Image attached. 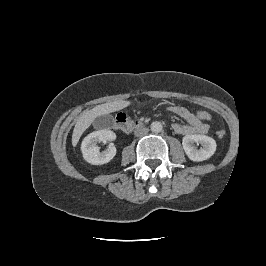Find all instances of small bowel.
Masks as SVG:
<instances>
[{
  "label": "small bowel",
  "instance_id": "small-bowel-1",
  "mask_svg": "<svg viewBox=\"0 0 266 266\" xmlns=\"http://www.w3.org/2000/svg\"><path fill=\"white\" fill-rule=\"evenodd\" d=\"M168 110L175 115L182 118L186 124L175 123L173 130L180 135L189 134H205L209 130V126L200 121L196 115L186 107L183 106H170Z\"/></svg>",
  "mask_w": 266,
  "mask_h": 266
}]
</instances>
